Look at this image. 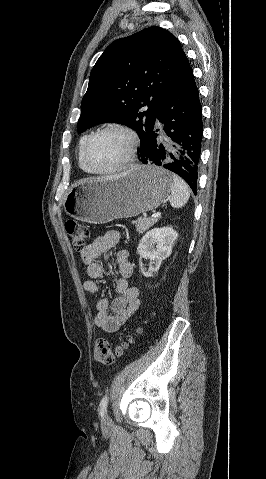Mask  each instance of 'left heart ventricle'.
<instances>
[{"mask_svg":"<svg viewBox=\"0 0 266 479\" xmlns=\"http://www.w3.org/2000/svg\"><path fill=\"white\" fill-rule=\"evenodd\" d=\"M129 139L126 135L109 131L94 139L89 151L88 161L97 170H107L118 165L126 156Z\"/></svg>","mask_w":266,"mask_h":479,"instance_id":"b2bd125f","label":"left heart ventricle"}]
</instances>
